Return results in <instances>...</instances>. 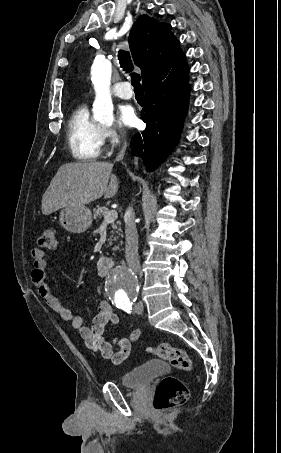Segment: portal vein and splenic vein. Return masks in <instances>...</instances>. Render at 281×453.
<instances>
[{"mask_svg":"<svg viewBox=\"0 0 281 453\" xmlns=\"http://www.w3.org/2000/svg\"><path fill=\"white\" fill-rule=\"evenodd\" d=\"M117 216H118L117 210H108V212L104 214V222H114Z\"/></svg>","mask_w":281,"mask_h":453,"instance_id":"1","label":"portal vein and splenic vein"}]
</instances>
